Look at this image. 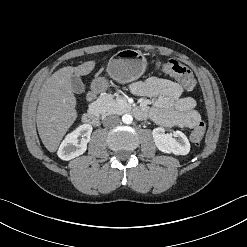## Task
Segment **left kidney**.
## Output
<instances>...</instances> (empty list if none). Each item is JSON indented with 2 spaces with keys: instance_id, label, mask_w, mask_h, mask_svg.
I'll list each match as a JSON object with an SVG mask.
<instances>
[{
  "instance_id": "obj_1",
  "label": "left kidney",
  "mask_w": 247,
  "mask_h": 247,
  "mask_svg": "<svg viewBox=\"0 0 247 247\" xmlns=\"http://www.w3.org/2000/svg\"><path fill=\"white\" fill-rule=\"evenodd\" d=\"M152 135L156 147L163 153L184 156L190 151V143L181 131L166 134L162 127H158L152 131Z\"/></svg>"
}]
</instances>
